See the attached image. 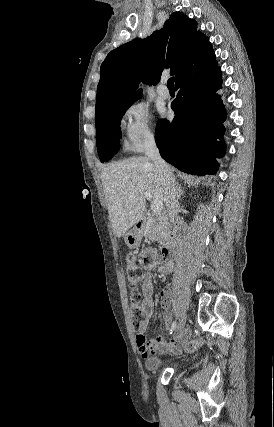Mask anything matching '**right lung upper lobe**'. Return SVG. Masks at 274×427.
Masks as SVG:
<instances>
[{"instance_id":"cb5924a9","label":"right lung upper lobe","mask_w":274,"mask_h":427,"mask_svg":"<svg viewBox=\"0 0 274 427\" xmlns=\"http://www.w3.org/2000/svg\"><path fill=\"white\" fill-rule=\"evenodd\" d=\"M197 22L173 12L162 29L148 38H136L112 50L101 65L95 113L130 97L139 81L156 85L170 70L175 84L190 72L216 62L212 46Z\"/></svg>"}]
</instances>
